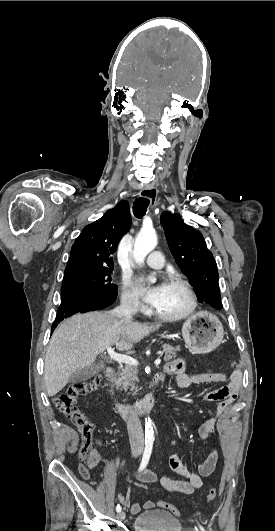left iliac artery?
<instances>
[{"label": "left iliac artery", "instance_id": "44dca946", "mask_svg": "<svg viewBox=\"0 0 275 531\" xmlns=\"http://www.w3.org/2000/svg\"><path fill=\"white\" fill-rule=\"evenodd\" d=\"M199 527H200L201 531H205L204 528L201 525Z\"/></svg>", "mask_w": 275, "mask_h": 531}]
</instances>
